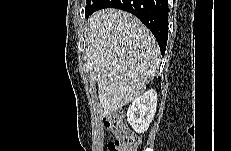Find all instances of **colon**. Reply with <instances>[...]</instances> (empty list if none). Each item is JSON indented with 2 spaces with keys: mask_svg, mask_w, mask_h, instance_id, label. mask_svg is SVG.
I'll list each match as a JSON object with an SVG mask.
<instances>
[{
  "mask_svg": "<svg viewBox=\"0 0 231 151\" xmlns=\"http://www.w3.org/2000/svg\"><path fill=\"white\" fill-rule=\"evenodd\" d=\"M106 127L114 134L113 141L106 145V151H135L138 137L130 130L122 111H113L105 118Z\"/></svg>",
  "mask_w": 231,
  "mask_h": 151,
  "instance_id": "5ec220e1",
  "label": "colon"
}]
</instances>
